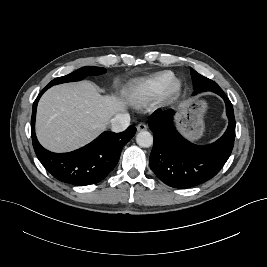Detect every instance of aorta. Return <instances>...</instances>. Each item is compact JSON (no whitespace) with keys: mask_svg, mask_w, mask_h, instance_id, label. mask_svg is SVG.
Masks as SVG:
<instances>
[{"mask_svg":"<svg viewBox=\"0 0 267 267\" xmlns=\"http://www.w3.org/2000/svg\"><path fill=\"white\" fill-rule=\"evenodd\" d=\"M136 142L139 146L148 148L153 144V136L148 131H141L136 136Z\"/></svg>","mask_w":267,"mask_h":267,"instance_id":"obj_1","label":"aorta"}]
</instances>
